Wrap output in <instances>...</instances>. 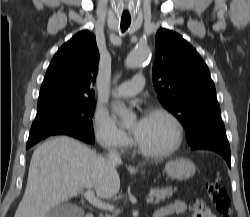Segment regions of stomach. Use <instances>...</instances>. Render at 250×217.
<instances>
[{
  "label": "stomach",
  "mask_w": 250,
  "mask_h": 217,
  "mask_svg": "<svg viewBox=\"0 0 250 217\" xmlns=\"http://www.w3.org/2000/svg\"><path fill=\"white\" fill-rule=\"evenodd\" d=\"M195 164L185 158H180L168 163L165 167L167 175L175 180H187L195 174Z\"/></svg>",
  "instance_id": "1"
}]
</instances>
